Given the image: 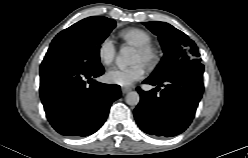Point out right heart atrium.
Returning <instances> with one entry per match:
<instances>
[{
  "mask_svg": "<svg viewBox=\"0 0 248 158\" xmlns=\"http://www.w3.org/2000/svg\"><path fill=\"white\" fill-rule=\"evenodd\" d=\"M98 57L103 65L109 66L115 60L117 50L113 41L106 37L98 45Z\"/></svg>",
  "mask_w": 248,
  "mask_h": 158,
  "instance_id": "obj_1",
  "label": "right heart atrium"
}]
</instances>
